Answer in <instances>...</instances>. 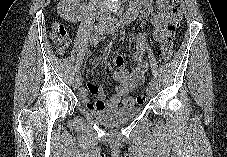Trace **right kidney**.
<instances>
[{
    "instance_id": "ca27d5eb",
    "label": "right kidney",
    "mask_w": 227,
    "mask_h": 157,
    "mask_svg": "<svg viewBox=\"0 0 227 157\" xmlns=\"http://www.w3.org/2000/svg\"><path fill=\"white\" fill-rule=\"evenodd\" d=\"M74 1L71 0H61L58 5V13L61 17H63L65 20L74 22L77 21L79 18V15L75 12L74 7H72L71 3Z\"/></svg>"
}]
</instances>
